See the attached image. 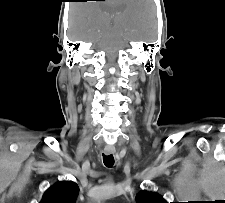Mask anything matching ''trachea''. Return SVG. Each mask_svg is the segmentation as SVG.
Returning <instances> with one entry per match:
<instances>
[{
    "label": "trachea",
    "mask_w": 225,
    "mask_h": 203,
    "mask_svg": "<svg viewBox=\"0 0 225 203\" xmlns=\"http://www.w3.org/2000/svg\"><path fill=\"white\" fill-rule=\"evenodd\" d=\"M103 162L106 167H112L114 165V157L112 154L104 155L103 154Z\"/></svg>",
    "instance_id": "obj_1"
}]
</instances>
